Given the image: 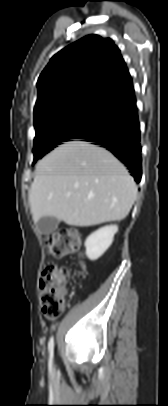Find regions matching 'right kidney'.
<instances>
[{
	"label": "right kidney",
	"mask_w": 168,
	"mask_h": 406,
	"mask_svg": "<svg viewBox=\"0 0 168 406\" xmlns=\"http://www.w3.org/2000/svg\"><path fill=\"white\" fill-rule=\"evenodd\" d=\"M117 231V225H110L93 232L85 241L87 257L90 260H97L101 257L112 244Z\"/></svg>",
	"instance_id": "1"
}]
</instances>
